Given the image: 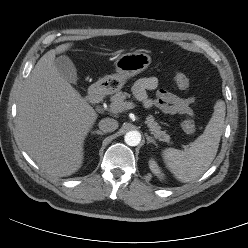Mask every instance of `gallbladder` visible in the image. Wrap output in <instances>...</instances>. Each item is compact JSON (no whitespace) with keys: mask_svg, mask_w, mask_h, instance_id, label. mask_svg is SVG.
<instances>
[{"mask_svg":"<svg viewBox=\"0 0 248 248\" xmlns=\"http://www.w3.org/2000/svg\"><path fill=\"white\" fill-rule=\"evenodd\" d=\"M54 65L58 73L69 83L76 84L78 77L75 65L72 60L65 55L58 56L54 60Z\"/></svg>","mask_w":248,"mask_h":248,"instance_id":"obj_1","label":"gallbladder"}]
</instances>
